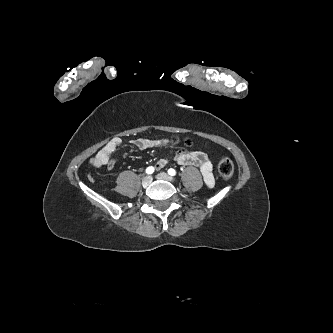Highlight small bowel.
<instances>
[{"mask_svg": "<svg viewBox=\"0 0 333 333\" xmlns=\"http://www.w3.org/2000/svg\"><path fill=\"white\" fill-rule=\"evenodd\" d=\"M122 140L119 137L112 138L104 147H102L94 158L91 160V165L95 168H100L106 165L112 169L115 165L114 160L111 158L114 151L121 145ZM130 144L140 150L163 146L169 144L166 138L149 139V138H136L130 140ZM174 160L180 165L197 166L200 168L203 180L208 187L214 185L213 166L208 156L203 151H186L180 150L174 155ZM168 163L166 158H159L155 167L161 169Z\"/></svg>", "mask_w": 333, "mask_h": 333, "instance_id": "obj_1", "label": "small bowel"}]
</instances>
